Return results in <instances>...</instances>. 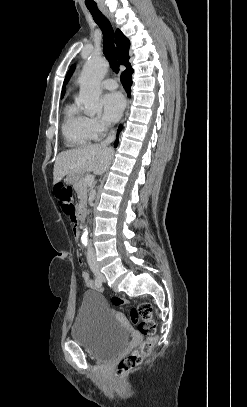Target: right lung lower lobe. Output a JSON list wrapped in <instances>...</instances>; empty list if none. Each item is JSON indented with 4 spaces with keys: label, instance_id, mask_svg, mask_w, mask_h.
<instances>
[{
    "label": "right lung lower lobe",
    "instance_id": "obj_1",
    "mask_svg": "<svg viewBox=\"0 0 247 407\" xmlns=\"http://www.w3.org/2000/svg\"><path fill=\"white\" fill-rule=\"evenodd\" d=\"M132 73L133 69L131 66L127 67L125 71L121 74V82L123 84V87L125 88L128 96L130 97L131 93V85H132ZM121 130V126L118 129V132ZM118 144V141L116 140L114 143V146L116 147Z\"/></svg>",
    "mask_w": 247,
    "mask_h": 407
}]
</instances>
